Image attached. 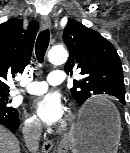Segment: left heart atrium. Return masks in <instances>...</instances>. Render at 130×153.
Masks as SVG:
<instances>
[{
    "mask_svg": "<svg viewBox=\"0 0 130 153\" xmlns=\"http://www.w3.org/2000/svg\"><path fill=\"white\" fill-rule=\"evenodd\" d=\"M34 109L38 118L47 125L60 122L65 108L57 93H47L35 100Z\"/></svg>",
    "mask_w": 130,
    "mask_h": 153,
    "instance_id": "obj_1",
    "label": "left heart atrium"
}]
</instances>
